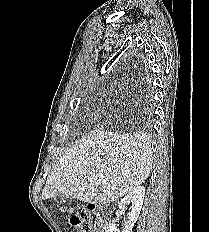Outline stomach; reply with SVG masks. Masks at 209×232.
Masks as SVG:
<instances>
[{
    "label": "stomach",
    "instance_id": "obj_1",
    "mask_svg": "<svg viewBox=\"0 0 209 232\" xmlns=\"http://www.w3.org/2000/svg\"><path fill=\"white\" fill-rule=\"evenodd\" d=\"M66 213H67V214H70V213H71V210H70V209H67V210H66Z\"/></svg>",
    "mask_w": 209,
    "mask_h": 232
}]
</instances>
